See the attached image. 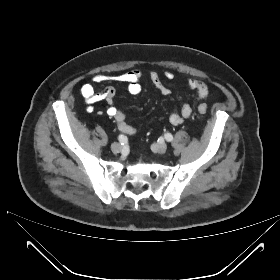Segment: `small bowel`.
<instances>
[{
  "instance_id": "1",
  "label": "small bowel",
  "mask_w": 280,
  "mask_h": 280,
  "mask_svg": "<svg viewBox=\"0 0 280 280\" xmlns=\"http://www.w3.org/2000/svg\"><path fill=\"white\" fill-rule=\"evenodd\" d=\"M163 77L166 80H171L174 75L171 71L166 70L163 73ZM141 78L142 72L138 69H132L122 73L96 75L94 80H109L125 83L127 84L128 92L132 95H136L141 91ZM149 78L162 95L168 96L171 94L170 88L163 83L162 78L158 73L151 72ZM187 87L196 93L198 101H204L209 96L208 86L201 80L190 78L187 81ZM80 93L83 96L84 102L88 106L89 111L93 110V104L100 101H106L109 104L106 112L109 116L113 117L119 131L129 136L135 134V129L127 123L125 114L112 105L116 94L114 87L106 86L102 90L96 91L91 83H84L80 87ZM192 112L193 109L191 104L182 101L180 112H172L169 116V121L173 125L182 124L186 119L191 117Z\"/></svg>"
}]
</instances>
